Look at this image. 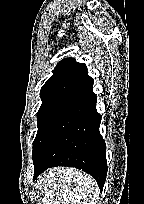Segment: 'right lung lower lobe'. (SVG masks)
I'll return each instance as SVG.
<instances>
[{
	"label": "right lung lower lobe",
	"mask_w": 144,
	"mask_h": 204,
	"mask_svg": "<svg viewBox=\"0 0 144 204\" xmlns=\"http://www.w3.org/2000/svg\"><path fill=\"white\" fill-rule=\"evenodd\" d=\"M96 98L91 90L67 108L34 160L33 180L47 168L71 166L90 174L102 190L107 175L106 145L99 132Z\"/></svg>",
	"instance_id": "obj_1"
}]
</instances>
